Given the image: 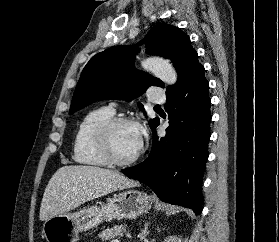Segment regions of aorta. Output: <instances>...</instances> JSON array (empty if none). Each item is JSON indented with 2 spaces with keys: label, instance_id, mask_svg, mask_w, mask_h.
Here are the masks:
<instances>
[{
  "label": "aorta",
  "instance_id": "obj_1",
  "mask_svg": "<svg viewBox=\"0 0 279 242\" xmlns=\"http://www.w3.org/2000/svg\"><path fill=\"white\" fill-rule=\"evenodd\" d=\"M142 67L154 74L157 78L166 84H174L177 80V73L169 61L159 58L150 57L142 61Z\"/></svg>",
  "mask_w": 279,
  "mask_h": 242
}]
</instances>
